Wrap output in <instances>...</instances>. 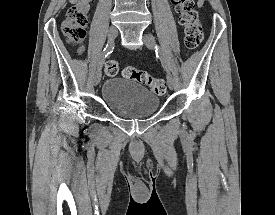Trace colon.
Segmentation results:
<instances>
[{"instance_id":"colon-1","label":"colon","mask_w":275,"mask_h":215,"mask_svg":"<svg viewBox=\"0 0 275 215\" xmlns=\"http://www.w3.org/2000/svg\"><path fill=\"white\" fill-rule=\"evenodd\" d=\"M176 5V11L179 14L181 25L185 28L184 43L188 50H195L202 41L203 29L195 10L194 0H172ZM90 0H77V3L71 6L63 23V33L67 42L82 52L83 41L86 35V26L88 23L86 10ZM105 74L115 76L118 73V63L114 60L105 62ZM123 74L127 79L134 80L140 84L146 85L150 91L157 95H163L166 92V83L164 80L153 77L145 70L134 66H126Z\"/></svg>"}]
</instances>
